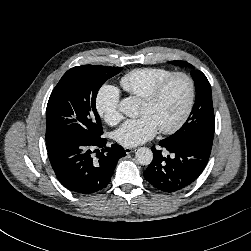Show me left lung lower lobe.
<instances>
[{
	"instance_id": "left-lung-lower-lobe-1",
	"label": "left lung lower lobe",
	"mask_w": 251,
	"mask_h": 251,
	"mask_svg": "<svg viewBox=\"0 0 251 251\" xmlns=\"http://www.w3.org/2000/svg\"><path fill=\"white\" fill-rule=\"evenodd\" d=\"M171 156L152 147L153 160L144 171L145 179L156 189L173 193L191 185L206 167L212 145L198 138L176 142L160 141Z\"/></svg>"
}]
</instances>
